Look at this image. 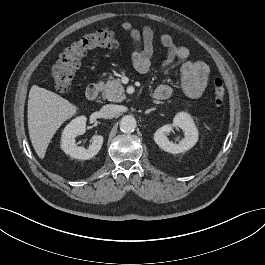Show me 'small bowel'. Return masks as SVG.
I'll use <instances>...</instances> for the list:
<instances>
[{
	"instance_id": "obj_1",
	"label": "small bowel",
	"mask_w": 265,
	"mask_h": 265,
	"mask_svg": "<svg viewBox=\"0 0 265 265\" xmlns=\"http://www.w3.org/2000/svg\"><path fill=\"white\" fill-rule=\"evenodd\" d=\"M122 29L127 32L133 43L132 61L139 73H147L151 67L154 52V32L151 27L136 28L131 22H123ZM160 43L166 49L164 65L178 62L181 64V88L191 99L199 98L206 87L209 77V67L203 61H191L189 50L176 45L169 34L160 35ZM171 95V87L160 84L154 91V97L159 100Z\"/></svg>"
}]
</instances>
